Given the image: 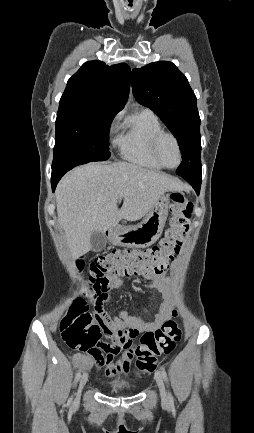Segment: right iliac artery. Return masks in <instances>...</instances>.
Here are the masks:
<instances>
[{
  "label": "right iliac artery",
  "instance_id": "right-iliac-artery-1",
  "mask_svg": "<svg viewBox=\"0 0 254 433\" xmlns=\"http://www.w3.org/2000/svg\"><path fill=\"white\" fill-rule=\"evenodd\" d=\"M80 377H81V371H78L75 376V381L77 382L80 379ZM72 399H73L72 397L69 399L70 403L72 402Z\"/></svg>",
  "mask_w": 254,
  "mask_h": 433
}]
</instances>
